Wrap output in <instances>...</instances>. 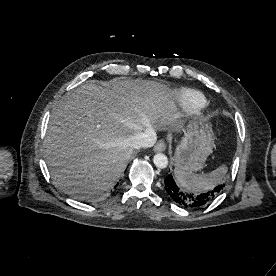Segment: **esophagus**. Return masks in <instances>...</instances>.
I'll use <instances>...</instances> for the list:
<instances>
[{
	"instance_id": "1",
	"label": "esophagus",
	"mask_w": 276,
	"mask_h": 276,
	"mask_svg": "<svg viewBox=\"0 0 276 276\" xmlns=\"http://www.w3.org/2000/svg\"><path fill=\"white\" fill-rule=\"evenodd\" d=\"M166 149V144L160 140L155 146H154V150L157 152H162Z\"/></svg>"
}]
</instances>
